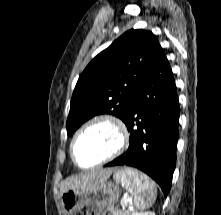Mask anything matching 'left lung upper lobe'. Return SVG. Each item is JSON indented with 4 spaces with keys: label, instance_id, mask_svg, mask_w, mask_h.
<instances>
[{
    "label": "left lung upper lobe",
    "instance_id": "5c2ea615",
    "mask_svg": "<svg viewBox=\"0 0 221 215\" xmlns=\"http://www.w3.org/2000/svg\"><path fill=\"white\" fill-rule=\"evenodd\" d=\"M151 31L131 29L99 53L80 75L67 118V134L98 114L125 119L127 105L161 51Z\"/></svg>",
    "mask_w": 221,
    "mask_h": 215
}]
</instances>
